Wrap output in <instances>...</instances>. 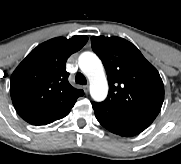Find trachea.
<instances>
[{
    "label": "trachea",
    "instance_id": "3493384b",
    "mask_svg": "<svg viewBox=\"0 0 181 164\" xmlns=\"http://www.w3.org/2000/svg\"><path fill=\"white\" fill-rule=\"evenodd\" d=\"M75 81L78 84H82V85L87 84V80L82 73H77V75L75 76Z\"/></svg>",
    "mask_w": 181,
    "mask_h": 164
}]
</instances>
